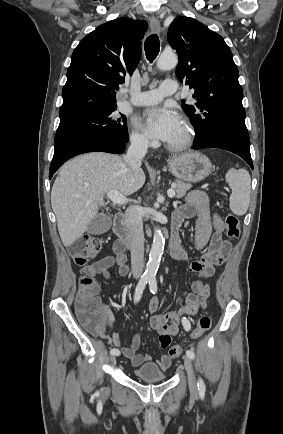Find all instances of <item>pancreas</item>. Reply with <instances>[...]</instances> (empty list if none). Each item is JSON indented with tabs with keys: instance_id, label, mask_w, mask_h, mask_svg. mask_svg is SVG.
I'll return each instance as SVG.
<instances>
[{
	"instance_id": "pancreas-1",
	"label": "pancreas",
	"mask_w": 283,
	"mask_h": 434,
	"mask_svg": "<svg viewBox=\"0 0 283 434\" xmlns=\"http://www.w3.org/2000/svg\"><path fill=\"white\" fill-rule=\"evenodd\" d=\"M174 184H175V192L178 198L184 197L186 192L192 187L191 184L184 183L180 180H176Z\"/></svg>"
}]
</instances>
